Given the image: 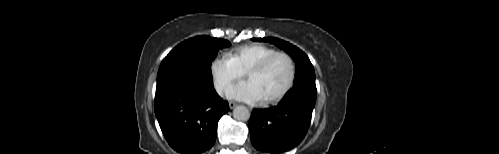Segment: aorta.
<instances>
[{
	"mask_svg": "<svg viewBox=\"0 0 499 154\" xmlns=\"http://www.w3.org/2000/svg\"><path fill=\"white\" fill-rule=\"evenodd\" d=\"M233 116L238 121H247L250 118V111L245 106H237L233 110Z\"/></svg>",
	"mask_w": 499,
	"mask_h": 154,
	"instance_id": "762f6f07",
	"label": "aorta"
}]
</instances>
